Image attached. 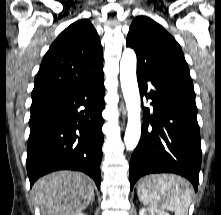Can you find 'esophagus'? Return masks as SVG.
<instances>
[{
  "mask_svg": "<svg viewBox=\"0 0 221 215\" xmlns=\"http://www.w3.org/2000/svg\"><path fill=\"white\" fill-rule=\"evenodd\" d=\"M122 118L123 120H125L126 118V109L124 108V106H122Z\"/></svg>",
  "mask_w": 221,
  "mask_h": 215,
  "instance_id": "34e87169",
  "label": "esophagus"
}]
</instances>
